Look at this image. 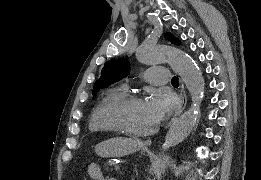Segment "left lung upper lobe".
<instances>
[{
	"instance_id": "5c2ea615",
	"label": "left lung upper lobe",
	"mask_w": 261,
	"mask_h": 180,
	"mask_svg": "<svg viewBox=\"0 0 261 180\" xmlns=\"http://www.w3.org/2000/svg\"><path fill=\"white\" fill-rule=\"evenodd\" d=\"M166 38L175 45H180V41L175 38L171 33L166 35ZM130 71L129 63L126 59H112L107 61L101 71V77L94 84L93 94H97L99 89L108 87L114 82L119 81L126 76Z\"/></svg>"
}]
</instances>
